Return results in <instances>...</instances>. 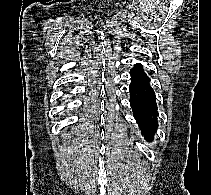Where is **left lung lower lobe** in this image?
<instances>
[{"label":"left lung lower lobe","instance_id":"obj_1","mask_svg":"<svg viewBox=\"0 0 211 195\" xmlns=\"http://www.w3.org/2000/svg\"><path fill=\"white\" fill-rule=\"evenodd\" d=\"M130 75L129 91L133 115L143 131L145 139L151 141L158 126L156 96L141 64L135 65L130 71Z\"/></svg>","mask_w":211,"mask_h":195}]
</instances>
